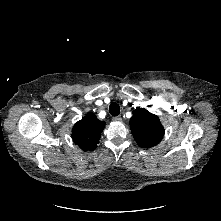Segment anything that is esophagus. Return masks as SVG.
<instances>
[{
  "label": "esophagus",
  "mask_w": 221,
  "mask_h": 221,
  "mask_svg": "<svg viewBox=\"0 0 221 221\" xmlns=\"http://www.w3.org/2000/svg\"><path fill=\"white\" fill-rule=\"evenodd\" d=\"M113 121L115 122H121L122 121V117L121 116H115L112 118Z\"/></svg>",
  "instance_id": "obj_1"
}]
</instances>
